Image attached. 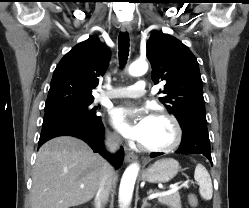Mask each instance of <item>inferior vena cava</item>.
Returning a JSON list of instances; mask_svg holds the SVG:
<instances>
[{
    "label": "inferior vena cava",
    "instance_id": "1",
    "mask_svg": "<svg viewBox=\"0 0 249 208\" xmlns=\"http://www.w3.org/2000/svg\"><path fill=\"white\" fill-rule=\"evenodd\" d=\"M120 145L121 138L119 135L113 133L106 136L105 146L109 152L115 153L120 148ZM113 172V167L109 163H106L103 170V176L95 197L96 208H101L102 205L106 204L108 201L112 186Z\"/></svg>",
    "mask_w": 249,
    "mask_h": 208
}]
</instances>
